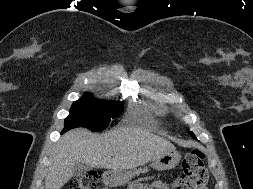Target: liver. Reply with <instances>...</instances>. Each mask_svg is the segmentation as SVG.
Segmentation results:
<instances>
[{"label":"liver","instance_id":"6515ba94","mask_svg":"<svg viewBox=\"0 0 253 189\" xmlns=\"http://www.w3.org/2000/svg\"><path fill=\"white\" fill-rule=\"evenodd\" d=\"M175 150L168 140L138 127H120L102 136L77 128L64 134L50 153L46 189H60L73 176V167L85 163L114 171L135 169L162 152Z\"/></svg>","mask_w":253,"mask_h":189}]
</instances>
